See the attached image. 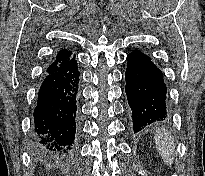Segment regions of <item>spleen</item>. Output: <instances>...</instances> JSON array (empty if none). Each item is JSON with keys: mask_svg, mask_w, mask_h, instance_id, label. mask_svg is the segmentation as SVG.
<instances>
[{"mask_svg": "<svg viewBox=\"0 0 205 176\" xmlns=\"http://www.w3.org/2000/svg\"><path fill=\"white\" fill-rule=\"evenodd\" d=\"M154 139L159 155L168 166H171L173 164V153L175 149L173 136L166 129L159 128L156 130Z\"/></svg>", "mask_w": 205, "mask_h": 176, "instance_id": "1", "label": "spleen"}]
</instances>
